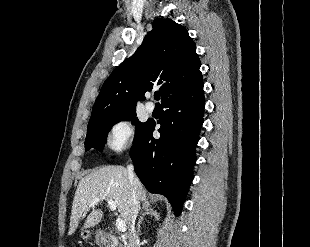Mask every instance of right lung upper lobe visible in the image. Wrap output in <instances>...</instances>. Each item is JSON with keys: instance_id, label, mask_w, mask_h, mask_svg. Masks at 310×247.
I'll return each mask as SVG.
<instances>
[{"instance_id": "1", "label": "right lung upper lobe", "mask_w": 310, "mask_h": 247, "mask_svg": "<svg viewBox=\"0 0 310 247\" xmlns=\"http://www.w3.org/2000/svg\"><path fill=\"white\" fill-rule=\"evenodd\" d=\"M196 46L186 28L158 18L137 51L104 82L89 123L104 116L135 110L137 99L160 85L162 102L187 91L202 79Z\"/></svg>"}]
</instances>
